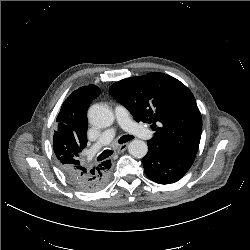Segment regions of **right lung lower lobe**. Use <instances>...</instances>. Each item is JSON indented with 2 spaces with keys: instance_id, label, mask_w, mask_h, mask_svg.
<instances>
[{
  "instance_id": "1",
  "label": "right lung lower lobe",
  "mask_w": 250,
  "mask_h": 250,
  "mask_svg": "<svg viewBox=\"0 0 250 250\" xmlns=\"http://www.w3.org/2000/svg\"><path fill=\"white\" fill-rule=\"evenodd\" d=\"M61 168L74 186L82 191L92 192L103 188L108 182L111 162L107 160L96 166L81 164Z\"/></svg>"
}]
</instances>
